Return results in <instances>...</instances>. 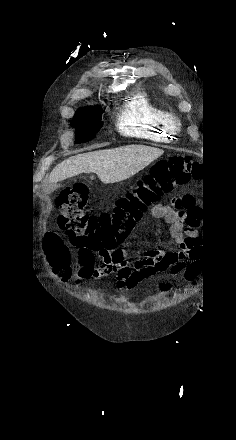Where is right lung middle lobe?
I'll return each instance as SVG.
<instances>
[{
  "label": "right lung middle lobe",
  "instance_id": "dd1d6c3e",
  "mask_svg": "<svg viewBox=\"0 0 236 440\" xmlns=\"http://www.w3.org/2000/svg\"><path fill=\"white\" fill-rule=\"evenodd\" d=\"M101 109L99 107H84L79 109L72 121L76 128V143H84L102 128Z\"/></svg>",
  "mask_w": 236,
  "mask_h": 440
}]
</instances>
